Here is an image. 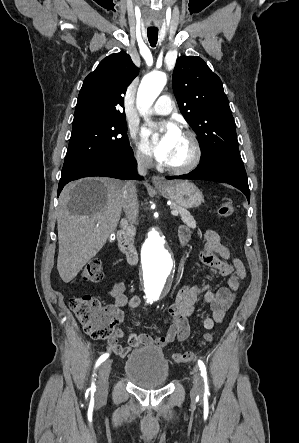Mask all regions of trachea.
<instances>
[{
	"mask_svg": "<svg viewBox=\"0 0 299 443\" xmlns=\"http://www.w3.org/2000/svg\"><path fill=\"white\" fill-rule=\"evenodd\" d=\"M147 34H148V40H149L150 45L152 47H155L157 44V40H158V30L148 29Z\"/></svg>",
	"mask_w": 299,
	"mask_h": 443,
	"instance_id": "3493384b",
	"label": "trachea"
}]
</instances>
